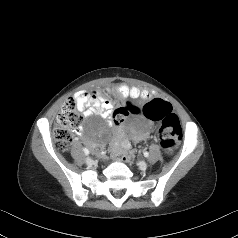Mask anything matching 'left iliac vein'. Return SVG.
Wrapping results in <instances>:
<instances>
[{
	"instance_id": "left-iliac-vein-1",
	"label": "left iliac vein",
	"mask_w": 238,
	"mask_h": 238,
	"mask_svg": "<svg viewBox=\"0 0 238 238\" xmlns=\"http://www.w3.org/2000/svg\"><path fill=\"white\" fill-rule=\"evenodd\" d=\"M139 167H140V169L145 170V169H147L148 164L146 162L142 161L139 163Z\"/></svg>"
}]
</instances>
